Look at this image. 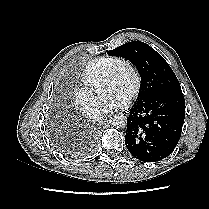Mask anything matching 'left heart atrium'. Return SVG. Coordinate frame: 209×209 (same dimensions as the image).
I'll use <instances>...</instances> for the list:
<instances>
[{"label": "left heart atrium", "mask_w": 209, "mask_h": 209, "mask_svg": "<svg viewBox=\"0 0 209 209\" xmlns=\"http://www.w3.org/2000/svg\"><path fill=\"white\" fill-rule=\"evenodd\" d=\"M129 98L127 95L122 93H115L104 106V112H111L122 109L127 106Z\"/></svg>", "instance_id": "obj_1"}]
</instances>
